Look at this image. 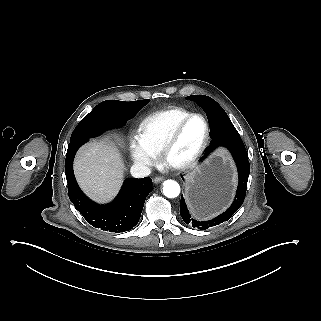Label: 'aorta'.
Listing matches in <instances>:
<instances>
[{
  "instance_id": "1",
  "label": "aorta",
  "mask_w": 321,
  "mask_h": 321,
  "mask_svg": "<svg viewBox=\"0 0 321 321\" xmlns=\"http://www.w3.org/2000/svg\"><path fill=\"white\" fill-rule=\"evenodd\" d=\"M163 193L168 198H175L180 194V186L174 180H166L163 183Z\"/></svg>"
}]
</instances>
